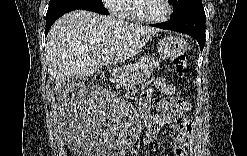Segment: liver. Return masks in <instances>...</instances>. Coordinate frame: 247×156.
Masks as SVG:
<instances>
[{"label":"liver","instance_id":"1","mask_svg":"<svg viewBox=\"0 0 247 156\" xmlns=\"http://www.w3.org/2000/svg\"><path fill=\"white\" fill-rule=\"evenodd\" d=\"M158 31L90 11L63 15L51 27L46 43L56 73L54 90L59 92L72 76L84 78L104 65L128 60Z\"/></svg>","mask_w":247,"mask_h":156}]
</instances>
